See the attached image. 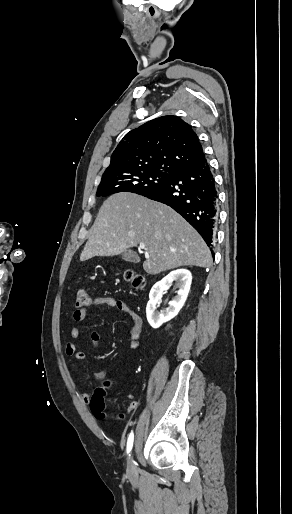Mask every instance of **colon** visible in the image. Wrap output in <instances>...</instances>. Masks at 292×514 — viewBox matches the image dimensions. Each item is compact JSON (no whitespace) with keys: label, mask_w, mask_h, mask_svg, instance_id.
Instances as JSON below:
<instances>
[{"label":"colon","mask_w":292,"mask_h":514,"mask_svg":"<svg viewBox=\"0 0 292 514\" xmlns=\"http://www.w3.org/2000/svg\"><path fill=\"white\" fill-rule=\"evenodd\" d=\"M125 278L131 283L135 289H141L144 285V277L140 274H136L132 270H126L124 272ZM90 306L89 295L86 290L80 289L76 293L75 300V312L85 310ZM104 396L105 389L99 388L97 392L91 397V411L93 412V418L95 420H101L104 417ZM131 407H129V410Z\"/></svg>","instance_id":"colon-1"}]
</instances>
